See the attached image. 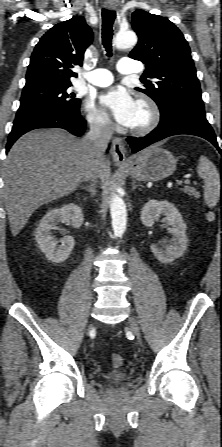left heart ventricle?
Returning a JSON list of instances; mask_svg holds the SVG:
<instances>
[{"label":"left heart ventricle","mask_w":222,"mask_h":447,"mask_svg":"<svg viewBox=\"0 0 222 447\" xmlns=\"http://www.w3.org/2000/svg\"><path fill=\"white\" fill-rule=\"evenodd\" d=\"M144 119H145V112L142 108H140L137 105L136 114L132 126L142 123Z\"/></svg>","instance_id":"b2bd125f"}]
</instances>
